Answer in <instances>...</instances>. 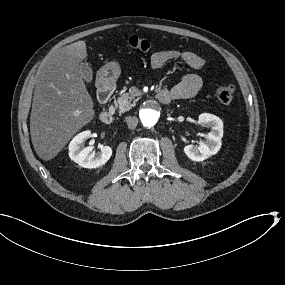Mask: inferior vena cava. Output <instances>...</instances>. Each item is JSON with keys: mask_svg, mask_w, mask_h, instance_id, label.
Wrapping results in <instances>:
<instances>
[{"mask_svg": "<svg viewBox=\"0 0 285 285\" xmlns=\"http://www.w3.org/2000/svg\"><path fill=\"white\" fill-rule=\"evenodd\" d=\"M125 121L127 123V126L129 129H134L137 126L138 123V118L137 117H131V116H126Z\"/></svg>", "mask_w": 285, "mask_h": 285, "instance_id": "inferior-vena-cava-1", "label": "inferior vena cava"}]
</instances>
